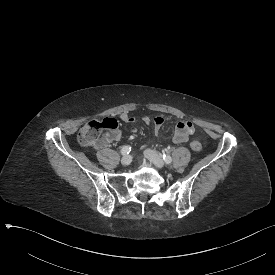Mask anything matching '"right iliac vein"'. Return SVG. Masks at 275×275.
I'll return each mask as SVG.
<instances>
[{
    "label": "right iliac vein",
    "mask_w": 275,
    "mask_h": 275,
    "mask_svg": "<svg viewBox=\"0 0 275 275\" xmlns=\"http://www.w3.org/2000/svg\"><path fill=\"white\" fill-rule=\"evenodd\" d=\"M132 162V157L130 155H125L121 159V164L123 166H128Z\"/></svg>",
    "instance_id": "1"
}]
</instances>
